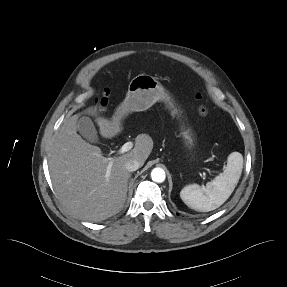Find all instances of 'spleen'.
<instances>
[{
  "mask_svg": "<svg viewBox=\"0 0 287 287\" xmlns=\"http://www.w3.org/2000/svg\"><path fill=\"white\" fill-rule=\"evenodd\" d=\"M243 156L239 152H232L227 158V165L222 174L216 176L200 187L197 184L185 186L180 197L191 209L198 212H209L220 207L232 194L241 177Z\"/></svg>",
  "mask_w": 287,
  "mask_h": 287,
  "instance_id": "spleen-1",
  "label": "spleen"
}]
</instances>
